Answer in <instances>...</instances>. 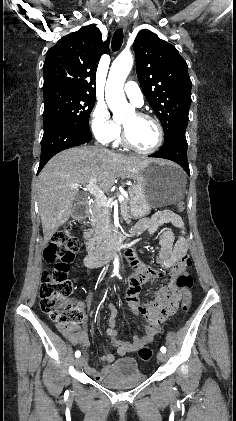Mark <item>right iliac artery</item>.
I'll return each instance as SVG.
<instances>
[{"label": "right iliac artery", "instance_id": "right-iliac-artery-1", "mask_svg": "<svg viewBox=\"0 0 236 421\" xmlns=\"http://www.w3.org/2000/svg\"><path fill=\"white\" fill-rule=\"evenodd\" d=\"M112 276H114V274H113ZM80 355H81V352H80V351H76V352H75V357H76V358L80 357Z\"/></svg>", "mask_w": 236, "mask_h": 421}]
</instances>
